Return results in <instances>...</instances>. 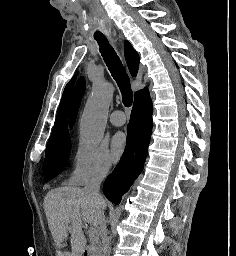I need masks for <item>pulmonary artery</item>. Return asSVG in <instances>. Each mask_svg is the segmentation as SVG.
Wrapping results in <instances>:
<instances>
[{
	"mask_svg": "<svg viewBox=\"0 0 236 256\" xmlns=\"http://www.w3.org/2000/svg\"><path fill=\"white\" fill-rule=\"evenodd\" d=\"M119 113H120L119 111H116L110 115V122L114 126H122L126 122L125 118L118 116Z\"/></svg>",
	"mask_w": 236,
	"mask_h": 256,
	"instance_id": "1",
	"label": "pulmonary artery"
}]
</instances>
